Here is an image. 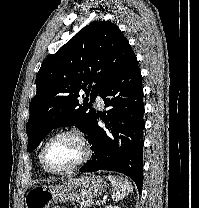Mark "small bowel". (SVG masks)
Wrapping results in <instances>:
<instances>
[{
	"label": "small bowel",
	"instance_id": "obj_1",
	"mask_svg": "<svg viewBox=\"0 0 199 208\" xmlns=\"http://www.w3.org/2000/svg\"><path fill=\"white\" fill-rule=\"evenodd\" d=\"M53 208H65V207H61V206H55V207H53Z\"/></svg>",
	"mask_w": 199,
	"mask_h": 208
}]
</instances>
